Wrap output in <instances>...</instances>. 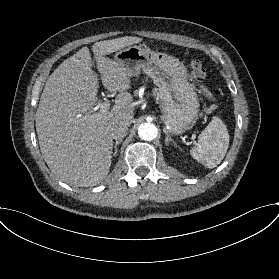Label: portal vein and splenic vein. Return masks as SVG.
Returning a JSON list of instances; mask_svg holds the SVG:
<instances>
[{"label": "portal vein and splenic vein", "mask_w": 279, "mask_h": 279, "mask_svg": "<svg viewBox=\"0 0 279 279\" xmlns=\"http://www.w3.org/2000/svg\"><path fill=\"white\" fill-rule=\"evenodd\" d=\"M96 108H97V109L100 108V111H102V112H105V111H106V110H105V107H104L103 105H101V104H99Z\"/></svg>", "instance_id": "portal-vein-and-splenic-vein-1"}]
</instances>
